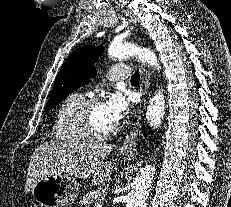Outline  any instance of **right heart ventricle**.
Masks as SVG:
<instances>
[{
	"instance_id": "1",
	"label": "right heart ventricle",
	"mask_w": 231,
	"mask_h": 207,
	"mask_svg": "<svg viewBox=\"0 0 231 207\" xmlns=\"http://www.w3.org/2000/svg\"><path fill=\"white\" fill-rule=\"evenodd\" d=\"M83 95L74 92L68 95L59 106L53 123L52 133L55 139L64 142H80L84 139L74 122V111Z\"/></svg>"
}]
</instances>
